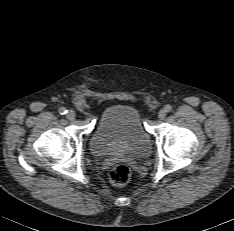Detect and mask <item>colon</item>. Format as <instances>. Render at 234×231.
<instances>
[{
    "label": "colon",
    "mask_w": 234,
    "mask_h": 231,
    "mask_svg": "<svg viewBox=\"0 0 234 231\" xmlns=\"http://www.w3.org/2000/svg\"><path fill=\"white\" fill-rule=\"evenodd\" d=\"M112 185L119 187L127 184L131 177L130 169L126 165H117L110 172Z\"/></svg>",
    "instance_id": "colon-1"
}]
</instances>
